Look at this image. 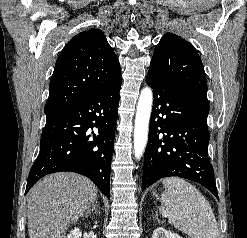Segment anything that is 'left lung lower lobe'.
I'll return each instance as SVG.
<instances>
[{
	"instance_id": "obj_1",
	"label": "left lung lower lobe",
	"mask_w": 247,
	"mask_h": 238,
	"mask_svg": "<svg viewBox=\"0 0 247 238\" xmlns=\"http://www.w3.org/2000/svg\"><path fill=\"white\" fill-rule=\"evenodd\" d=\"M146 81L153 89L154 101L142 188L161 178L177 176L202 184L219 199L208 158L209 110L153 72L148 71Z\"/></svg>"
}]
</instances>
